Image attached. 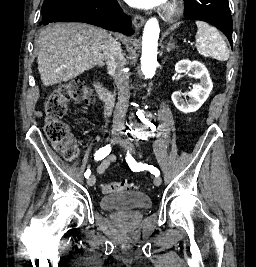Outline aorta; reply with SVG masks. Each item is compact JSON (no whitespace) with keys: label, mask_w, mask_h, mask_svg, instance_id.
Instances as JSON below:
<instances>
[{"label":"aorta","mask_w":256,"mask_h":267,"mask_svg":"<svg viewBox=\"0 0 256 267\" xmlns=\"http://www.w3.org/2000/svg\"><path fill=\"white\" fill-rule=\"evenodd\" d=\"M160 28L157 18H150L144 26L142 36L141 70L146 72V77H153L157 68V50ZM144 40L146 42V52L144 54ZM141 122H151V117H141Z\"/></svg>","instance_id":"1"}]
</instances>
